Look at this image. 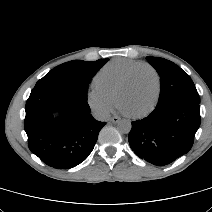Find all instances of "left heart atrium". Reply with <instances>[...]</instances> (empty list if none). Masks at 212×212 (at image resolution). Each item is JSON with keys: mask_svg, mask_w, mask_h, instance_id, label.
Masks as SVG:
<instances>
[{"mask_svg": "<svg viewBox=\"0 0 212 212\" xmlns=\"http://www.w3.org/2000/svg\"><path fill=\"white\" fill-rule=\"evenodd\" d=\"M120 111L124 114H129L128 111L123 107L120 108Z\"/></svg>", "mask_w": 212, "mask_h": 212, "instance_id": "obj_1", "label": "left heart atrium"}]
</instances>
